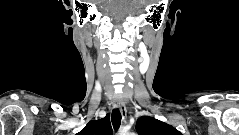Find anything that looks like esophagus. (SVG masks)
Segmentation results:
<instances>
[{"label": "esophagus", "mask_w": 239, "mask_h": 135, "mask_svg": "<svg viewBox=\"0 0 239 135\" xmlns=\"http://www.w3.org/2000/svg\"><path fill=\"white\" fill-rule=\"evenodd\" d=\"M114 106L119 108L121 115H122V119L125 121L127 118V111H126V107L125 104L123 102V100L120 97H116L114 100Z\"/></svg>", "instance_id": "34e87169"}]
</instances>
